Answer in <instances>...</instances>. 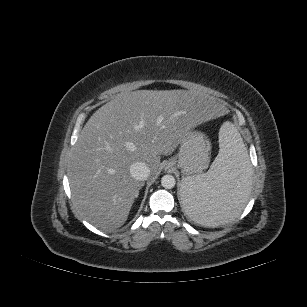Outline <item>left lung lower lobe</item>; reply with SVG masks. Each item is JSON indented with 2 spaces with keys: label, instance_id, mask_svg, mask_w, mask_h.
Returning a JSON list of instances; mask_svg holds the SVG:
<instances>
[{
  "label": "left lung lower lobe",
  "instance_id": "1",
  "mask_svg": "<svg viewBox=\"0 0 307 307\" xmlns=\"http://www.w3.org/2000/svg\"><path fill=\"white\" fill-rule=\"evenodd\" d=\"M240 206L235 194H229L223 201L219 208V213L225 216L235 213ZM186 213V212H185Z\"/></svg>",
  "mask_w": 307,
  "mask_h": 307
}]
</instances>
